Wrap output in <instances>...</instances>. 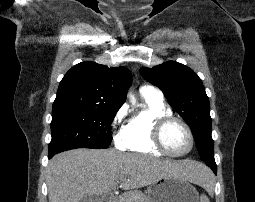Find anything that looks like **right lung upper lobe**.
I'll return each instance as SVG.
<instances>
[{"label":"right lung upper lobe","mask_w":255,"mask_h":202,"mask_svg":"<svg viewBox=\"0 0 255 202\" xmlns=\"http://www.w3.org/2000/svg\"><path fill=\"white\" fill-rule=\"evenodd\" d=\"M131 81V72L125 67L79 63L60 82L52 115L87 108L119 109Z\"/></svg>","instance_id":"1"}]
</instances>
